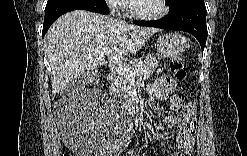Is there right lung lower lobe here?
Segmentation results:
<instances>
[{
	"label": "right lung lower lobe",
	"instance_id": "98d812e1",
	"mask_svg": "<svg viewBox=\"0 0 247 156\" xmlns=\"http://www.w3.org/2000/svg\"><path fill=\"white\" fill-rule=\"evenodd\" d=\"M79 9L105 15L109 13V8L105 0H57L55 2L48 3L45 8L42 36L44 37L48 28L58 17L66 12Z\"/></svg>",
	"mask_w": 247,
	"mask_h": 156
}]
</instances>
